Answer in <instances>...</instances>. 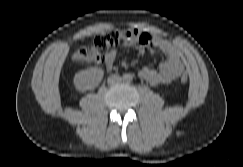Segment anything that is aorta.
<instances>
[{"mask_svg":"<svg viewBox=\"0 0 243 167\" xmlns=\"http://www.w3.org/2000/svg\"><path fill=\"white\" fill-rule=\"evenodd\" d=\"M132 79H133V77H132L131 74H124L123 75V81H125V82H130V81H132Z\"/></svg>","mask_w":243,"mask_h":167,"instance_id":"aorta-1","label":"aorta"}]
</instances>
